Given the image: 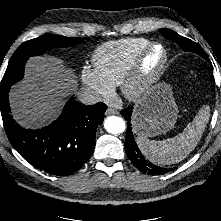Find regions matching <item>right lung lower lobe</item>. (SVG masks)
I'll use <instances>...</instances> for the list:
<instances>
[{"label":"right lung lower lobe","instance_id":"right-lung-lower-lobe-1","mask_svg":"<svg viewBox=\"0 0 221 221\" xmlns=\"http://www.w3.org/2000/svg\"><path fill=\"white\" fill-rule=\"evenodd\" d=\"M10 87H1L0 109L15 150L30 164L50 174L67 176L78 171L94 151L97 126L102 123L107 106H87L71 99L52 124L27 130L16 124L10 114Z\"/></svg>","mask_w":221,"mask_h":221}]
</instances>
